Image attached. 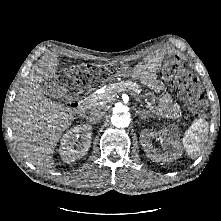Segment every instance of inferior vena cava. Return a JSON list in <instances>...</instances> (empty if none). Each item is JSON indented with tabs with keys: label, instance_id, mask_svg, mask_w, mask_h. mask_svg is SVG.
I'll return each instance as SVG.
<instances>
[{
	"label": "inferior vena cava",
	"instance_id": "602c4592",
	"mask_svg": "<svg viewBox=\"0 0 221 221\" xmlns=\"http://www.w3.org/2000/svg\"><path fill=\"white\" fill-rule=\"evenodd\" d=\"M104 106H94L90 111L89 121L94 124L96 122H100L102 117L104 116L105 112L102 111Z\"/></svg>",
	"mask_w": 221,
	"mask_h": 221
}]
</instances>
